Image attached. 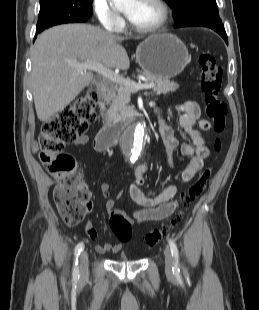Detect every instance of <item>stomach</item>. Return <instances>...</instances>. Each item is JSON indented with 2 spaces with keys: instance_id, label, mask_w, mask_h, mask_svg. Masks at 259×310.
Masks as SVG:
<instances>
[{
  "instance_id": "obj_1",
  "label": "stomach",
  "mask_w": 259,
  "mask_h": 310,
  "mask_svg": "<svg viewBox=\"0 0 259 310\" xmlns=\"http://www.w3.org/2000/svg\"><path fill=\"white\" fill-rule=\"evenodd\" d=\"M136 61L144 73L170 79L184 70L189 56L186 46L177 36L160 33L140 43L136 50Z\"/></svg>"
}]
</instances>
